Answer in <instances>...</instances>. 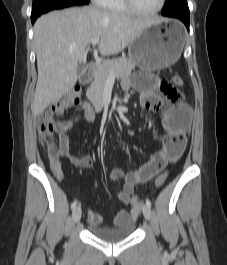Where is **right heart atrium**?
Listing matches in <instances>:
<instances>
[{
	"label": "right heart atrium",
	"instance_id": "obj_1",
	"mask_svg": "<svg viewBox=\"0 0 227 265\" xmlns=\"http://www.w3.org/2000/svg\"><path fill=\"white\" fill-rule=\"evenodd\" d=\"M94 2H96L97 4H100L102 2V0H93Z\"/></svg>",
	"mask_w": 227,
	"mask_h": 265
}]
</instances>
